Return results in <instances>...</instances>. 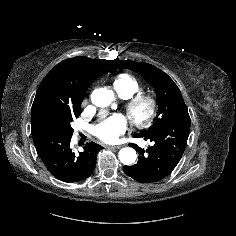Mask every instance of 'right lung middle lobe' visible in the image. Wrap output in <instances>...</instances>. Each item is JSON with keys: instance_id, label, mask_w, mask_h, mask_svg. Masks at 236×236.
Masks as SVG:
<instances>
[{"instance_id": "dd1d6c3e", "label": "right lung middle lobe", "mask_w": 236, "mask_h": 236, "mask_svg": "<svg viewBox=\"0 0 236 236\" xmlns=\"http://www.w3.org/2000/svg\"><path fill=\"white\" fill-rule=\"evenodd\" d=\"M79 107L76 110L63 108L55 109L45 113L38 124V131L58 134L64 137H72L73 129L71 123L80 115Z\"/></svg>"}]
</instances>
